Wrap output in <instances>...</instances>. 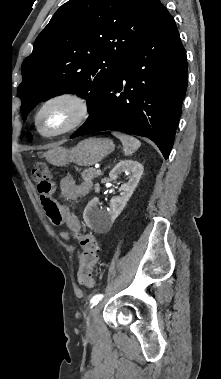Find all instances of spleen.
Returning <instances> with one entry per match:
<instances>
[{
	"label": "spleen",
	"instance_id": "spleen-1",
	"mask_svg": "<svg viewBox=\"0 0 221 379\" xmlns=\"http://www.w3.org/2000/svg\"><path fill=\"white\" fill-rule=\"evenodd\" d=\"M113 135L122 142L125 156L133 154L141 146V142L133 136L118 132H114Z\"/></svg>",
	"mask_w": 221,
	"mask_h": 379
}]
</instances>
